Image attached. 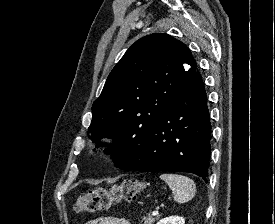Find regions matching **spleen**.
<instances>
[{
	"instance_id": "1",
	"label": "spleen",
	"mask_w": 275,
	"mask_h": 224,
	"mask_svg": "<svg viewBox=\"0 0 275 224\" xmlns=\"http://www.w3.org/2000/svg\"><path fill=\"white\" fill-rule=\"evenodd\" d=\"M160 179L165 181L174 195L175 201L185 203L191 200L196 192V186L192 179L178 174H161Z\"/></svg>"
}]
</instances>
